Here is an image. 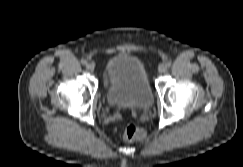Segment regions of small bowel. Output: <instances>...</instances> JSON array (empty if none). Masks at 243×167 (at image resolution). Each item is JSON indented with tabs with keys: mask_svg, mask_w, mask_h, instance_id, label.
Here are the masks:
<instances>
[{
	"mask_svg": "<svg viewBox=\"0 0 243 167\" xmlns=\"http://www.w3.org/2000/svg\"><path fill=\"white\" fill-rule=\"evenodd\" d=\"M115 116H116V117H119V116H120L119 111H116V112H115Z\"/></svg>",
	"mask_w": 243,
	"mask_h": 167,
	"instance_id": "1",
	"label": "small bowel"
}]
</instances>
